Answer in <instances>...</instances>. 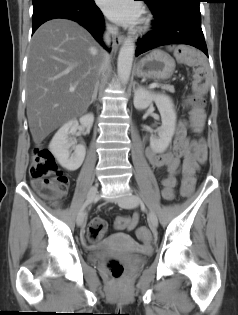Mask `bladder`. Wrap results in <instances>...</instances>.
Wrapping results in <instances>:
<instances>
[{
	"label": "bladder",
	"instance_id": "1",
	"mask_svg": "<svg viewBox=\"0 0 238 315\" xmlns=\"http://www.w3.org/2000/svg\"><path fill=\"white\" fill-rule=\"evenodd\" d=\"M97 249H131V248H92L90 250V254H89V261L92 263H95L97 261H99L100 256L96 255V250ZM149 253V250L146 251L144 253V255H140V256H135V257H131L129 258L130 263L134 264V265H141L144 263L145 261V255H147Z\"/></svg>",
	"mask_w": 238,
	"mask_h": 315
}]
</instances>
